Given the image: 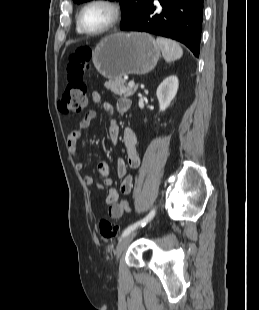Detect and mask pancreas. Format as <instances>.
Masks as SVG:
<instances>
[{"mask_svg": "<svg viewBox=\"0 0 259 310\" xmlns=\"http://www.w3.org/2000/svg\"><path fill=\"white\" fill-rule=\"evenodd\" d=\"M105 87L114 94L124 97L132 96L138 88L137 86L126 87L123 78L111 79L105 83Z\"/></svg>", "mask_w": 259, "mask_h": 310, "instance_id": "pancreas-1", "label": "pancreas"}]
</instances>
